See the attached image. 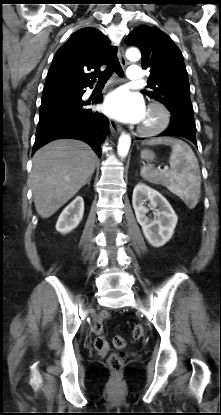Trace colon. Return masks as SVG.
Instances as JSON below:
<instances>
[{"label":"colon","instance_id":"1","mask_svg":"<svg viewBox=\"0 0 221 415\" xmlns=\"http://www.w3.org/2000/svg\"><path fill=\"white\" fill-rule=\"evenodd\" d=\"M110 314L107 311L101 312L93 321L92 331L97 335L94 341V346L99 352H106L109 348V343L103 334V321L108 319ZM145 334V329L142 325H136L132 331V337L135 340L142 338ZM114 346L118 349V352L112 353L108 357V365L110 369L119 373L124 364V352L123 349L126 346V341L121 336L114 337Z\"/></svg>","mask_w":221,"mask_h":415}]
</instances>
